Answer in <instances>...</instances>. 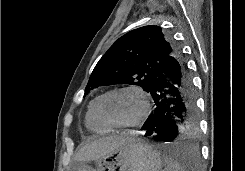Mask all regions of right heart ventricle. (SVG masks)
<instances>
[{
    "label": "right heart ventricle",
    "mask_w": 245,
    "mask_h": 171,
    "mask_svg": "<svg viewBox=\"0 0 245 171\" xmlns=\"http://www.w3.org/2000/svg\"><path fill=\"white\" fill-rule=\"evenodd\" d=\"M99 97H95L88 106L86 117H85V123L86 127L95 133H107L111 130L110 127L103 124L100 119L97 116L96 112V105L98 102Z\"/></svg>",
    "instance_id": "obj_1"
}]
</instances>
